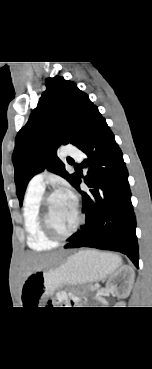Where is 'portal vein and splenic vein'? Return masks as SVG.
Instances as JSON below:
<instances>
[{
  "label": "portal vein and splenic vein",
  "instance_id": "1",
  "mask_svg": "<svg viewBox=\"0 0 152 369\" xmlns=\"http://www.w3.org/2000/svg\"><path fill=\"white\" fill-rule=\"evenodd\" d=\"M97 286H94L93 289L96 290Z\"/></svg>",
  "mask_w": 152,
  "mask_h": 369
}]
</instances>
